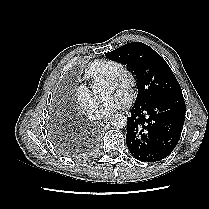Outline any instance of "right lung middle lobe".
<instances>
[{"label":"right lung middle lobe","instance_id":"1","mask_svg":"<svg viewBox=\"0 0 209 209\" xmlns=\"http://www.w3.org/2000/svg\"><path fill=\"white\" fill-rule=\"evenodd\" d=\"M55 144L60 149V151H62L63 153L67 155H75V154L80 153L81 151L79 147H76L71 142L65 141L61 139L60 137L59 138L57 137V139H55Z\"/></svg>","mask_w":209,"mask_h":209}]
</instances>
